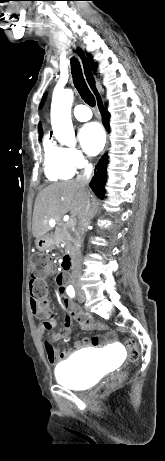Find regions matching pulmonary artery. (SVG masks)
<instances>
[{
	"mask_svg": "<svg viewBox=\"0 0 165 461\" xmlns=\"http://www.w3.org/2000/svg\"><path fill=\"white\" fill-rule=\"evenodd\" d=\"M74 116L79 121H87L92 117L90 109L85 105H77L73 110Z\"/></svg>",
	"mask_w": 165,
	"mask_h": 461,
	"instance_id": "obj_1",
	"label": "pulmonary artery"
}]
</instances>
